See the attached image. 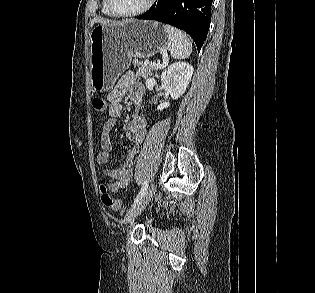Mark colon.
I'll list each match as a JSON object with an SVG mask.
<instances>
[{"mask_svg": "<svg viewBox=\"0 0 315 293\" xmlns=\"http://www.w3.org/2000/svg\"><path fill=\"white\" fill-rule=\"evenodd\" d=\"M93 108L97 112H103L107 107L105 98L98 97L92 101ZM102 204L112 210H119L123 207L122 201L110 195L105 185L100 186Z\"/></svg>", "mask_w": 315, "mask_h": 293, "instance_id": "obj_1", "label": "colon"}]
</instances>
